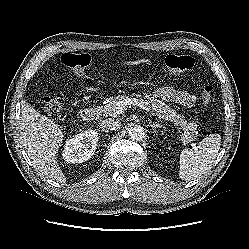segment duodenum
Wrapping results in <instances>:
<instances>
[{"label":"duodenum","mask_w":249,"mask_h":249,"mask_svg":"<svg viewBox=\"0 0 249 249\" xmlns=\"http://www.w3.org/2000/svg\"><path fill=\"white\" fill-rule=\"evenodd\" d=\"M99 116L97 108L88 107L80 111V118L83 121H93L96 120Z\"/></svg>","instance_id":"duodenum-1"}]
</instances>
